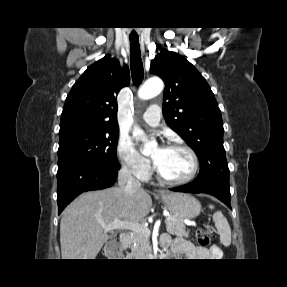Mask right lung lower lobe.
Instances as JSON below:
<instances>
[{
	"instance_id": "1",
	"label": "right lung lower lobe",
	"mask_w": 287,
	"mask_h": 287,
	"mask_svg": "<svg viewBox=\"0 0 287 287\" xmlns=\"http://www.w3.org/2000/svg\"><path fill=\"white\" fill-rule=\"evenodd\" d=\"M118 170L103 166L78 163L57 172V203L59 213L79 194L112 186Z\"/></svg>"
}]
</instances>
